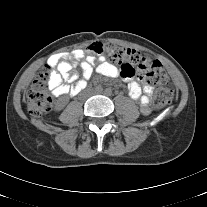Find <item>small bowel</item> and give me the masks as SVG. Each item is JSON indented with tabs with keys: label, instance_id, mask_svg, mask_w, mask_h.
Returning a JSON list of instances; mask_svg holds the SVG:
<instances>
[{
	"label": "small bowel",
	"instance_id": "1",
	"mask_svg": "<svg viewBox=\"0 0 207 207\" xmlns=\"http://www.w3.org/2000/svg\"><path fill=\"white\" fill-rule=\"evenodd\" d=\"M47 66L55 69L49 74V86L56 96L66 95L73 97L77 95L87 86V82L94 70L108 78L122 76L121 70L115 64L108 61L104 56L96 54L91 49L88 52L77 49L71 53L53 54L48 58ZM76 68L80 69L81 77L75 71ZM123 78L129 81L130 97L139 103L143 114H149V95L152 92V88L149 86L142 88L139 83V81H142L141 78H138V80Z\"/></svg>",
	"mask_w": 207,
	"mask_h": 207
}]
</instances>
